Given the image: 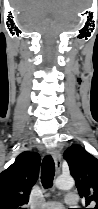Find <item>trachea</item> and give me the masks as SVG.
I'll return each instance as SVG.
<instances>
[{
    "label": "trachea",
    "instance_id": "obj_1",
    "mask_svg": "<svg viewBox=\"0 0 98 209\" xmlns=\"http://www.w3.org/2000/svg\"><path fill=\"white\" fill-rule=\"evenodd\" d=\"M55 175V164L51 156H45L41 167V182L45 189L51 188Z\"/></svg>",
    "mask_w": 98,
    "mask_h": 209
}]
</instances>
